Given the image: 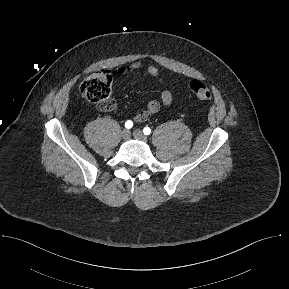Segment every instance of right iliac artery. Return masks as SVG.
<instances>
[{
	"label": "right iliac artery",
	"mask_w": 289,
	"mask_h": 289,
	"mask_svg": "<svg viewBox=\"0 0 289 289\" xmlns=\"http://www.w3.org/2000/svg\"><path fill=\"white\" fill-rule=\"evenodd\" d=\"M132 126H133V122H132L131 120L126 121L125 127H126L127 129L132 128Z\"/></svg>",
	"instance_id": "obj_1"
}]
</instances>
